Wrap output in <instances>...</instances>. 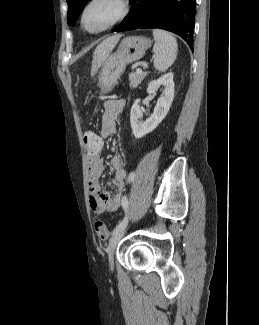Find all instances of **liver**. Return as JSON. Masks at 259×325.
Wrapping results in <instances>:
<instances>
[{
    "instance_id": "liver-1",
    "label": "liver",
    "mask_w": 259,
    "mask_h": 325,
    "mask_svg": "<svg viewBox=\"0 0 259 325\" xmlns=\"http://www.w3.org/2000/svg\"><path fill=\"white\" fill-rule=\"evenodd\" d=\"M121 35H114L100 43L94 53L91 74L94 75L118 43Z\"/></svg>"
}]
</instances>
